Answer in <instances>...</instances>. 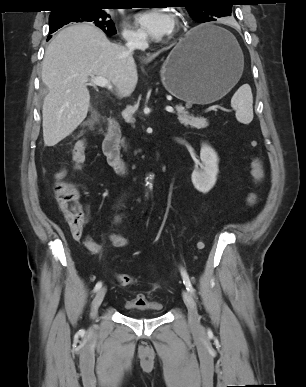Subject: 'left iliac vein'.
<instances>
[{
	"label": "left iliac vein",
	"instance_id": "1",
	"mask_svg": "<svg viewBox=\"0 0 306 387\" xmlns=\"http://www.w3.org/2000/svg\"><path fill=\"white\" fill-rule=\"evenodd\" d=\"M182 296H183L184 303H185L187 310H188V320H189L190 325L195 329H198V330L201 329V324H200V320L198 317L196 303H195L193 297L186 290H183Z\"/></svg>",
	"mask_w": 306,
	"mask_h": 387
}]
</instances>
